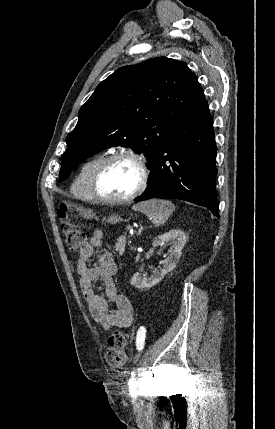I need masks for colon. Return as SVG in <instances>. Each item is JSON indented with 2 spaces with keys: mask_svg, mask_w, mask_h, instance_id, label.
Segmentation results:
<instances>
[{
  "mask_svg": "<svg viewBox=\"0 0 275 429\" xmlns=\"http://www.w3.org/2000/svg\"><path fill=\"white\" fill-rule=\"evenodd\" d=\"M61 220V229L65 236L67 248L71 252L78 251L84 242V234L79 226L70 218L69 211L65 205L58 210ZM111 349L105 354L107 365L113 370H118L126 362V349L128 345L127 336L121 330H114L108 337Z\"/></svg>",
  "mask_w": 275,
  "mask_h": 429,
  "instance_id": "colon-1",
  "label": "colon"
}]
</instances>
